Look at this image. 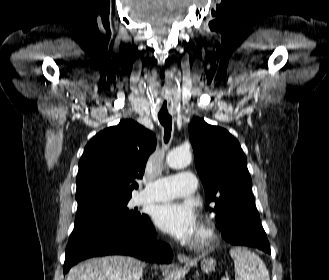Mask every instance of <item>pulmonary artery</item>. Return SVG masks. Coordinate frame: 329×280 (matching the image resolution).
<instances>
[{
    "mask_svg": "<svg viewBox=\"0 0 329 280\" xmlns=\"http://www.w3.org/2000/svg\"><path fill=\"white\" fill-rule=\"evenodd\" d=\"M197 180L192 172L184 171L164 176L147 185L139 195L140 202H156L192 195Z\"/></svg>",
    "mask_w": 329,
    "mask_h": 280,
    "instance_id": "1",
    "label": "pulmonary artery"
}]
</instances>
